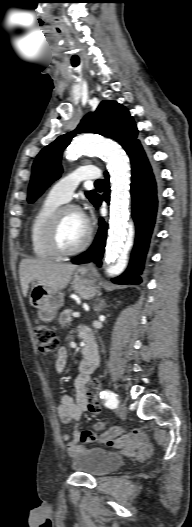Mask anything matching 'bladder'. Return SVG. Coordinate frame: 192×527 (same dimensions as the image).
<instances>
[{"label": "bladder", "mask_w": 192, "mask_h": 527, "mask_svg": "<svg viewBox=\"0 0 192 527\" xmlns=\"http://www.w3.org/2000/svg\"><path fill=\"white\" fill-rule=\"evenodd\" d=\"M123 463V456L117 452L100 447H93L78 454L73 462L72 468L93 477L104 476Z\"/></svg>", "instance_id": "1"}]
</instances>
